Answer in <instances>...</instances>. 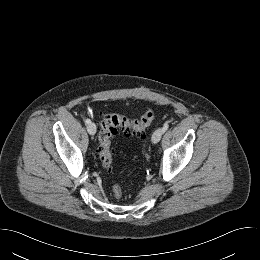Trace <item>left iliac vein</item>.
Wrapping results in <instances>:
<instances>
[{
  "label": "left iliac vein",
  "instance_id": "1",
  "mask_svg": "<svg viewBox=\"0 0 260 260\" xmlns=\"http://www.w3.org/2000/svg\"><path fill=\"white\" fill-rule=\"evenodd\" d=\"M163 130L162 129H157L153 135H152V143L156 144L160 141L162 135H163Z\"/></svg>",
  "mask_w": 260,
  "mask_h": 260
}]
</instances>
